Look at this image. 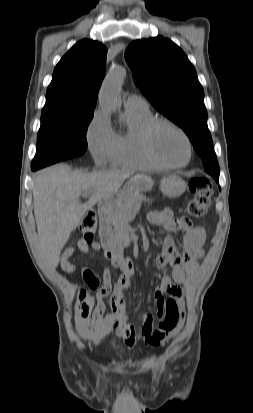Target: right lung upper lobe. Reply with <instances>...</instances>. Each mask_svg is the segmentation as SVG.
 Wrapping results in <instances>:
<instances>
[{"label":"right lung upper lobe","mask_w":253,"mask_h":413,"mask_svg":"<svg viewBox=\"0 0 253 413\" xmlns=\"http://www.w3.org/2000/svg\"><path fill=\"white\" fill-rule=\"evenodd\" d=\"M107 48L93 40L77 42L56 65L42 115L93 113L106 72Z\"/></svg>","instance_id":"obj_1"}]
</instances>
